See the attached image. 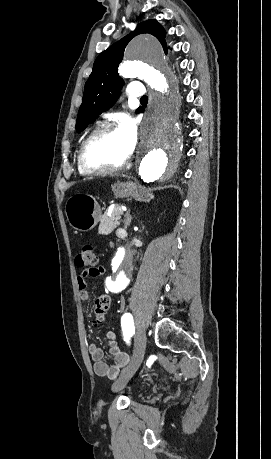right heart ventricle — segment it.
Masks as SVG:
<instances>
[{
	"label": "right heart ventricle",
	"mask_w": 271,
	"mask_h": 459,
	"mask_svg": "<svg viewBox=\"0 0 271 459\" xmlns=\"http://www.w3.org/2000/svg\"><path fill=\"white\" fill-rule=\"evenodd\" d=\"M80 145H79V147H78V149L76 151V154H75L76 169H77V172H78L79 176H81L83 178H90V177H92L94 175V173H90V172H87L86 170H84L83 167L81 166L80 162H79L78 153H79Z\"/></svg>",
	"instance_id": "right-heart-ventricle-1"
}]
</instances>
